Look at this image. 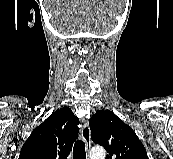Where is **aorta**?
Masks as SVG:
<instances>
[{"mask_svg":"<svg viewBox=\"0 0 173 159\" xmlns=\"http://www.w3.org/2000/svg\"><path fill=\"white\" fill-rule=\"evenodd\" d=\"M106 153L102 147H94L90 151V159H105Z\"/></svg>","mask_w":173,"mask_h":159,"instance_id":"1","label":"aorta"}]
</instances>
